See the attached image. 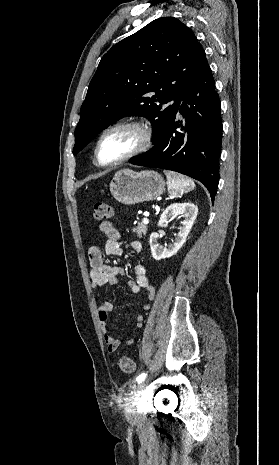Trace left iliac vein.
Segmentation results:
<instances>
[{
	"label": "left iliac vein",
	"instance_id": "1",
	"mask_svg": "<svg viewBox=\"0 0 279 465\" xmlns=\"http://www.w3.org/2000/svg\"><path fill=\"white\" fill-rule=\"evenodd\" d=\"M147 380H143L141 383L135 385L134 390L130 394L127 402V406L125 409L126 418L130 423H134L136 421V403L141 395L142 391L146 386Z\"/></svg>",
	"mask_w": 279,
	"mask_h": 465
}]
</instances>
